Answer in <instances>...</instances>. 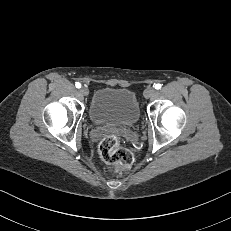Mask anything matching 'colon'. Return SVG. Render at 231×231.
<instances>
[{
	"label": "colon",
	"instance_id": "1",
	"mask_svg": "<svg viewBox=\"0 0 231 231\" xmlns=\"http://www.w3.org/2000/svg\"><path fill=\"white\" fill-rule=\"evenodd\" d=\"M99 154L101 159L109 166L110 171H126L133 164L132 153L121 146L116 135H108L101 141Z\"/></svg>",
	"mask_w": 231,
	"mask_h": 231
}]
</instances>
